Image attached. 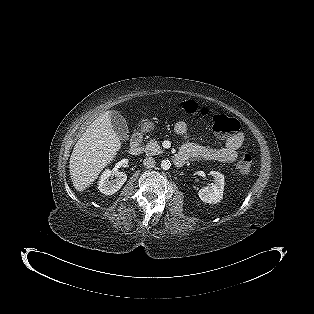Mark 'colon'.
Segmentation results:
<instances>
[{
	"label": "colon",
	"mask_w": 314,
	"mask_h": 314,
	"mask_svg": "<svg viewBox=\"0 0 314 314\" xmlns=\"http://www.w3.org/2000/svg\"><path fill=\"white\" fill-rule=\"evenodd\" d=\"M183 110L187 114L196 113L199 108L194 101H184L182 104ZM203 116H209L212 123V130L219 136L233 135L239 130V123L235 118L229 117L223 112L211 113L208 109L200 110ZM237 169L242 174H248L252 167V157L245 153L242 154L236 164Z\"/></svg>",
	"instance_id": "colon-1"
}]
</instances>
